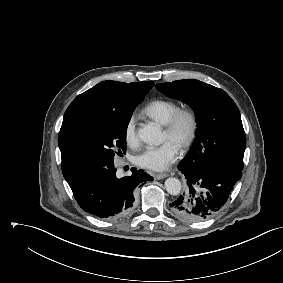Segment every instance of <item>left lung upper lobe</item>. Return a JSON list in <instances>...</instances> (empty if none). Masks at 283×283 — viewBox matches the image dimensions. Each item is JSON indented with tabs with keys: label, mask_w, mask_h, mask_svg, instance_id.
Listing matches in <instances>:
<instances>
[{
	"label": "left lung upper lobe",
	"mask_w": 283,
	"mask_h": 283,
	"mask_svg": "<svg viewBox=\"0 0 283 283\" xmlns=\"http://www.w3.org/2000/svg\"><path fill=\"white\" fill-rule=\"evenodd\" d=\"M156 88L190 105L197 116V138L180 165L193 170L213 165L243 169L246 136L238 107L225 91L193 79L159 83Z\"/></svg>",
	"instance_id": "1"
}]
</instances>
